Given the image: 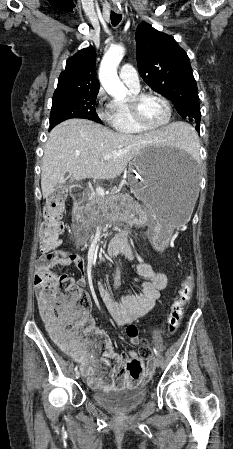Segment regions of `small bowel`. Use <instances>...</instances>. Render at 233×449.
Instances as JSON below:
<instances>
[{
  "label": "small bowel",
  "instance_id": "obj_1",
  "mask_svg": "<svg viewBox=\"0 0 233 449\" xmlns=\"http://www.w3.org/2000/svg\"><path fill=\"white\" fill-rule=\"evenodd\" d=\"M135 256L133 252H130ZM72 266L79 271V277L76 280V285L79 287L85 286L87 281V273L85 269V262L83 258L77 254L69 252H61L58 256L51 260V266ZM137 272L140 276L147 279L142 284V292L137 296H124L119 301L111 298L109 292L103 285H99L98 291L111 313L114 322L120 326L125 327V333L128 342L132 346L139 343V328L136 321L147 315L155 306L156 301L160 297V292L165 289L167 285V277L163 273L155 272L151 265L142 259H139ZM72 281V280H71ZM39 293L41 294V286L37 284ZM57 346L67 355L73 357L81 364L83 374L86 376L88 383L95 388H100L107 384L109 390H118L120 384H123L125 389L130 387V384H142V375H118V365L123 357L134 355L132 352L128 354L117 353L108 338H104L102 346L104 353L102 357V366L99 365L97 358V346L87 345L83 339H72L66 344ZM114 360L118 363L116 367L111 370V375H100L101 370L110 365ZM152 359H149L147 374L152 368ZM120 383V384H119Z\"/></svg>",
  "mask_w": 233,
  "mask_h": 449
}]
</instances>
